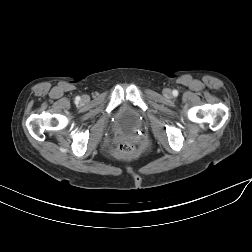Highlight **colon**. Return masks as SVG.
Segmentation results:
<instances>
[{
    "label": "colon",
    "instance_id": "colon-1",
    "mask_svg": "<svg viewBox=\"0 0 252 252\" xmlns=\"http://www.w3.org/2000/svg\"><path fill=\"white\" fill-rule=\"evenodd\" d=\"M136 145L130 140H122L116 147V153L124 158H131L136 154Z\"/></svg>",
    "mask_w": 252,
    "mask_h": 252
}]
</instances>
